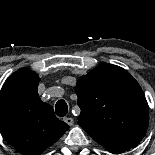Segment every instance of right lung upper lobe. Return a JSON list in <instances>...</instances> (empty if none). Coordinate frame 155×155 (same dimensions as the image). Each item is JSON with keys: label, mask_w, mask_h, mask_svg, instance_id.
I'll list each match as a JSON object with an SVG mask.
<instances>
[{"label": "right lung upper lobe", "mask_w": 155, "mask_h": 155, "mask_svg": "<svg viewBox=\"0 0 155 155\" xmlns=\"http://www.w3.org/2000/svg\"><path fill=\"white\" fill-rule=\"evenodd\" d=\"M40 79L31 70L19 69L0 91V131L5 140L25 155H40L69 129L51 105L38 96Z\"/></svg>", "instance_id": "obj_1"}]
</instances>
